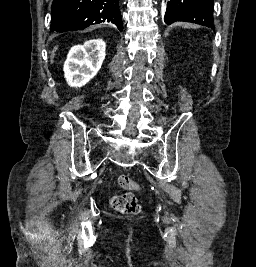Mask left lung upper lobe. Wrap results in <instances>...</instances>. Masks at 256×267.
I'll return each instance as SVG.
<instances>
[{
	"label": "left lung upper lobe",
	"instance_id": "5c2ea615",
	"mask_svg": "<svg viewBox=\"0 0 256 267\" xmlns=\"http://www.w3.org/2000/svg\"><path fill=\"white\" fill-rule=\"evenodd\" d=\"M164 21L167 24L175 21L193 22L215 30L213 0H170Z\"/></svg>",
	"mask_w": 256,
	"mask_h": 267
}]
</instances>
